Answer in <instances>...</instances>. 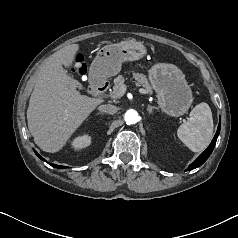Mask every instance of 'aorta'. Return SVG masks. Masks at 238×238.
I'll use <instances>...</instances> for the list:
<instances>
[{"instance_id":"1","label":"aorta","mask_w":238,"mask_h":238,"mask_svg":"<svg viewBox=\"0 0 238 238\" xmlns=\"http://www.w3.org/2000/svg\"><path fill=\"white\" fill-rule=\"evenodd\" d=\"M124 119L128 125L135 124L138 121V112L136 110L129 109L126 111Z\"/></svg>"}]
</instances>
